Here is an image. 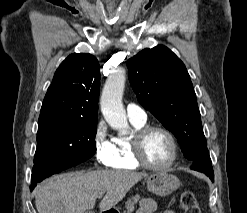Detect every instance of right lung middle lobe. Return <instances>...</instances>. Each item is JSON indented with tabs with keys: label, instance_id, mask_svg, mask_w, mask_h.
<instances>
[{
	"label": "right lung middle lobe",
	"instance_id": "right-lung-middle-lobe-1",
	"mask_svg": "<svg viewBox=\"0 0 247 213\" xmlns=\"http://www.w3.org/2000/svg\"><path fill=\"white\" fill-rule=\"evenodd\" d=\"M97 122L51 119L39 121L31 182L77 165L96 151Z\"/></svg>",
	"mask_w": 247,
	"mask_h": 213
}]
</instances>
